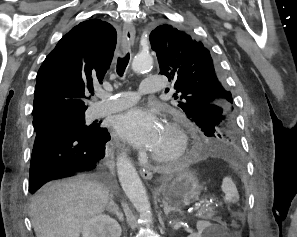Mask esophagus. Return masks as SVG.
<instances>
[{"mask_svg": "<svg viewBox=\"0 0 297 237\" xmlns=\"http://www.w3.org/2000/svg\"><path fill=\"white\" fill-rule=\"evenodd\" d=\"M135 39V28L132 24H125L123 27V39H122V51L125 53L133 45ZM141 176L150 180L152 178V172L148 167L140 170Z\"/></svg>", "mask_w": 297, "mask_h": 237, "instance_id": "obj_1", "label": "esophagus"}]
</instances>
